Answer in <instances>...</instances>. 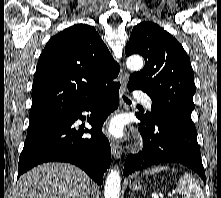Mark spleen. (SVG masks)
I'll return each mask as SVG.
<instances>
[{"label":"spleen","mask_w":221,"mask_h":198,"mask_svg":"<svg viewBox=\"0 0 221 198\" xmlns=\"http://www.w3.org/2000/svg\"><path fill=\"white\" fill-rule=\"evenodd\" d=\"M167 169L169 167L158 166L145 171V174H153ZM175 171L176 169L173 168L172 172ZM176 191L184 198H204V193L199 183L189 174H185L179 179Z\"/></svg>","instance_id":"3e777b00"}]
</instances>
